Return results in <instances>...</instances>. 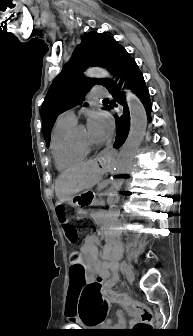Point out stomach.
<instances>
[{
    "mask_svg": "<svg viewBox=\"0 0 193 336\" xmlns=\"http://www.w3.org/2000/svg\"><path fill=\"white\" fill-rule=\"evenodd\" d=\"M110 161V157H105L100 158L99 163L101 166H105ZM91 200L92 195H90V193L86 191L81 194L74 195L71 200V204L77 208L79 214L86 215L88 213V210L85 207L91 203Z\"/></svg>",
    "mask_w": 193,
    "mask_h": 336,
    "instance_id": "stomach-1",
    "label": "stomach"
}]
</instances>
